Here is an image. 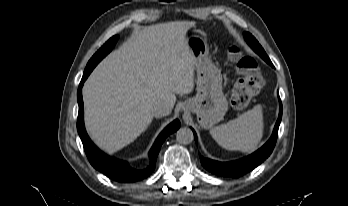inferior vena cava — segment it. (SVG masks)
Segmentation results:
<instances>
[{"instance_id":"1","label":"inferior vena cava","mask_w":348,"mask_h":206,"mask_svg":"<svg viewBox=\"0 0 348 206\" xmlns=\"http://www.w3.org/2000/svg\"><path fill=\"white\" fill-rule=\"evenodd\" d=\"M169 114H170V110L167 107L162 105L156 106L153 109V115L158 118L169 115Z\"/></svg>"}]
</instances>
